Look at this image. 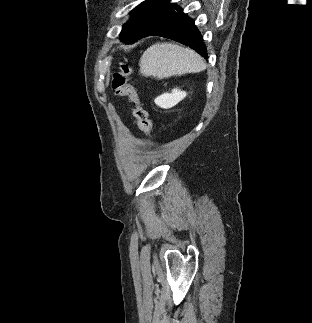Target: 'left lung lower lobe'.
I'll return each mask as SVG.
<instances>
[{
  "label": "left lung lower lobe",
  "mask_w": 312,
  "mask_h": 323,
  "mask_svg": "<svg viewBox=\"0 0 312 323\" xmlns=\"http://www.w3.org/2000/svg\"><path fill=\"white\" fill-rule=\"evenodd\" d=\"M164 19L154 24L146 36L157 35L165 37L184 45L190 46L204 58L208 57L202 36L194 24V20L183 13L176 4ZM145 36V37H146Z\"/></svg>",
  "instance_id": "0a47b994"
}]
</instances>
